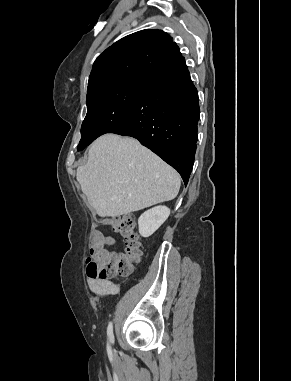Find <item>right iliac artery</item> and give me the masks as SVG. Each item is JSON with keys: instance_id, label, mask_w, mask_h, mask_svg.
I'll list each match as a JSON object with an SVG mask.
<instances>
[{"instance_id": "right-iliac-artery-1", "label": "right iliac artery", "mask_w": 291, "mask_h": 381, "mask_svg": "<svg viewBox=\"0 0 291 381\" xmlns=\"http://www.w3.org/2000/svg\"><path fill=\"white\" fill-rule=\"evenodd\" d=\"M107 335L111 342L114 341V335H113V325L112 322L109 323L107 328Z\"/></svg>"}]
</instances>
